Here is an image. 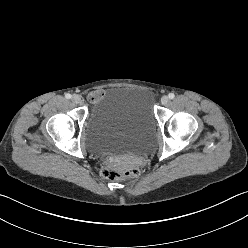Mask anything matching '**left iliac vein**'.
I'll use <instances>...</instances> for the list:
<instances>
[{"label":"left iliac vein","instance_id":"1","mask_svg":"<svg viewBox=\"0 0 248 248\" xmlns=\"http://www.w3.org/2000/svg\"><path fill=\"white\" fill-rule=\"evenodd\" d=\"M168 101H169V97L168 96L164 95V96L161 97V103L163 105H166L168 103Z\"/></svg>","mask_w":248,"mask_h":248}]
</instances>
